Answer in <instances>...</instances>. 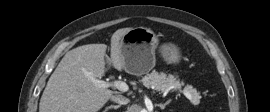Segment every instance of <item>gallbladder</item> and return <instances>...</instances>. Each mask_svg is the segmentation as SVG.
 Here are the masks:
<instances>
[{"instance_id":"obj_1","label":"gallbladder","mask_w":270,"mask_h":112,"mask_svg":"<svg viewBox=\"0 0 270 112\" xmlns=\"http://www.w3.org/2000/svg\"><path fill=\"white\" fill-rule=\"evenodd\" d=\"M105 61H106L107 64L109 63V61H107V60H105Z\"/></svg>"}]
</instances>
